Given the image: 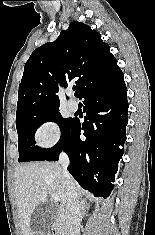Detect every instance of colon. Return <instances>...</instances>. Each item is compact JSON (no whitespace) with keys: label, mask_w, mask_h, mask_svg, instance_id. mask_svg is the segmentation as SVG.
Returning a JSON list of instances; mask_svg holds the SVG:
<instances>
[{"label":"colon","mask_w":155,"mask_h":235,"mask_svg":"<svg viewBox=\"0 0 155 235\" xmlns=\"http://www.w3.org/2000/svg\"><path fill=\"white\" fill-rule=\"evenodd\" d=\"M34 235H42V234H40V233H36V234H34Z\"/></svg>","instance_id":"5ec220e1"}]
</instances>
